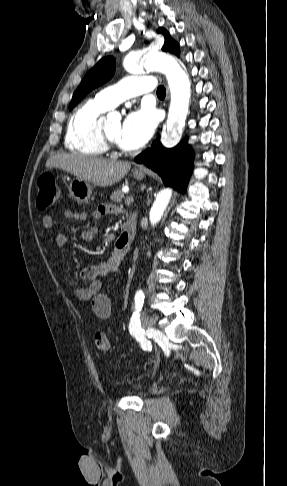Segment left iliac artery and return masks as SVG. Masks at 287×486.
I'll list each match as a JSON object with an SVG mask.
<instances>
[{
	"instance_id": "left-iliac-artery-1",
	"label": "left iliac artery",
	"mask_w": 287,
	"mask_h": 486,
	"mask_svg": "<svg viewBox=\"0 0 287 486\" xmlns=\"http://www.w3.org/2000/svg\"><path fill=\"white\" fill-rule=\"evenodd\" d=\"M144 298H145L144 292L142 290H138L135 294V311L133 312V315L129 323V331L131 335H133L136 338V340L140 343L141 347L144 350L151 351L152 349L151 343L146 339L144 335V330L141 328L140 319H139L140 317L139 312L143 307Z\"/></svg>"
}]
</instances>
